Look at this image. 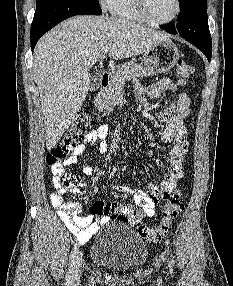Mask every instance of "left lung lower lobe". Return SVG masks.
Listing matches in <instances>:
<instances>
[{
    "mask_svg": "<svg viewBox=\"0 0 233 286\" xmlns=\"http://www.w3.org/2000/svg\"><path fill=\"white\" fill-rule=\"evenodd\" d=\"M161 28L168 33L179 34L201 50L208 61L211 60L212 41L208 27L207 4L199 7L185 20L161 25Z\"/></svg>",
    "mask_w": 233,
    "mask_h": 286,
    "instance_id": "left-lung-lower-lobe-1",
    "label": "left lung lower lobe"
}]
</instances>
